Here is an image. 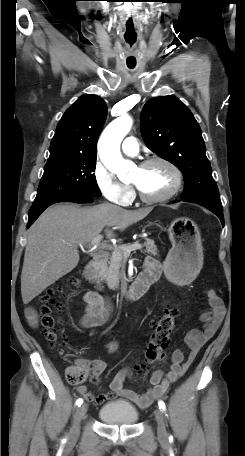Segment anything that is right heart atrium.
Instances as JSON below:
<instances>
[{
	"label": "right heart atrium",
	"instance_id": "obj_1",
	"mask_svg": "<svg viewBox=\"0 0 245 456\" xmlns=\"http://www.w3.org/2000/svg\"><path fill=\"white\" fill-rule=\"evenodd\" d=\"M92 175L98 190L108 201L122 206L131 202L132 187L119 181L99 160L94 164Z\"/></svg>",
	"mask_w": 245,
	"mask_h": 456
}]
</instances>
